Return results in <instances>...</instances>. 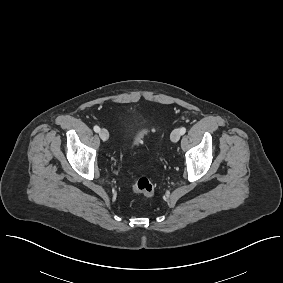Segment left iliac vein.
Segmentation results:
<instances>
[{"label":"left iliac vein","instance_id":"4c4485c4","mask_svg":"<svg viewBox=\"0 0 283 283\" xmlns=\"http://www.w3.org/2000/svg\"><path fill=\"white\" fill-rule=\"evenodd\" d=\"M180 137H181V134H180V130L179 129H174L171 132L170 139H171L172 142H174V143L178 142Z\"/></svg>","mask_w":283,"mask_h":283}]
</instances>
